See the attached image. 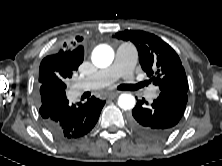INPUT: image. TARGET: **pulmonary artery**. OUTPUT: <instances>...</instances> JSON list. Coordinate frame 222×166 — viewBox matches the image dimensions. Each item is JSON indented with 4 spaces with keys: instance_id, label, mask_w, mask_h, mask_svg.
I'll list each match as a JSON object with an SVG mask.
<instances>
[{
    "instance_id": "obj_1",
    "label": "pulmonary artery",
    "mask_w": 222,
    "mask_h": 166,
    "mask_svg": "<svg viewBox=\"0 0 222 166\" xmlns=\"http://www.w3.org/2000/svg\"><path fill=\"white\" fill-rule=\"evenodd\" d=\"M136 61L137 52L134 47L129 44L120 45L117 49L114 63L110 67L100 70L95 75L84 79L75 88V93L80 94L85 89L106 87L119 78H123L128 83H134L133 68ZM155 96L156 88L150 86L146 91V97L151 100Z\"/></svg>"
}]
</instances>
